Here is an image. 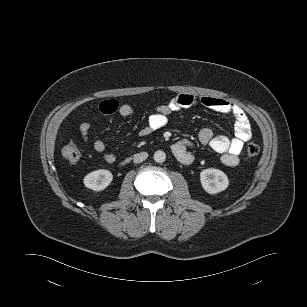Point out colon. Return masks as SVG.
<instances>
[{
	"mask_svg": "<svg viewBox=\"0 0 307 307\" xmlns=\"http://www.w3.org/2000/svg\"><path fill=\"white\" fill-rule=\"evenodd\" d=\"M260 148L255 143H249L246 147V155L253 158L258 155ZM62 154L69 162H77L80 159L81 152L79 147L75 143H70L62 150Z\"/></svg>",
	"mask_w": 307,
	"mask_h": 307,
	"instance_id": "5ec220e1",
	"label": "colon"
}]
</instances>
